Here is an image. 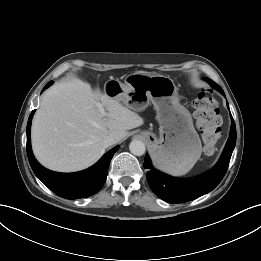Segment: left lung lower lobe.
<instances>
[{"instance_id": "1", "label": "left lung lower lobe", "mask_w": 261, "mask_h": 261, "mask_svg": "<svg viewBox=\"0 0 261 261\" xmlns=\"http://www.w3.org/2000/svg\"><path fill=\"white\" fill-rule=\"evenodd\" d=\"M205 79L211 86L225 95L220 86L209 78ZM227 106L229 108L228 102ZM231 120L230 136L218 163L200 176L188 179L173 178L154 169L149 156L146 154L144 168L148 169L146 176L152 191L159 198L169 203L191 201L212 191L223 179L236 144V126L232 115Z\"/></svg>"}]
</instances>
